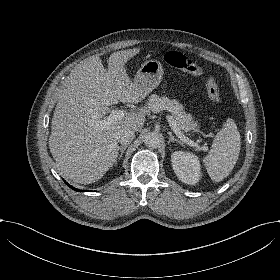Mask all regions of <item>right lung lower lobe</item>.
<instances>
[{
  "label": "right lung lower lobe",
  "mask_w": 280,
  "mask_h": 280,
  "mask_svg": "<svg viewBox=\"0 0 280 280\" xmlns=\"http://www.w3.org/2000/svg\"><path fill=\"white\" fill-rule=\"evenodd\" d=\"M66 183V182H65ZM71 189L75 190V191H78V192H82L83 190H79V189H76L74 187H72L71 185H69L68 183H66Z\"/></svg>",
  "instance_id": "98d812e1"
}]
</instances>
